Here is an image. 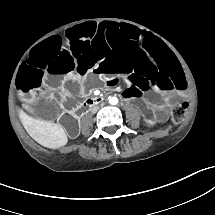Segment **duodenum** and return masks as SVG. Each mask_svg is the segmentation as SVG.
I'll return each instance as SVG.
<instances>
[{"mask_svg": "<svg viewBox=\"0 0 215 215\" xmlns=\"http://www.w3.org/2000/svg\"><path fill=\"white\" fill-rule=\"evenodd\" d=\"M103 97L101 96H92L89 97L85 103H84V107H91V106H97L100 105L103 102Z\"/></svg>", "mask_w": 215, "mask_h": 215, "instance_id": "duodenum-1", "label": "duodenum"}]
</instances>
